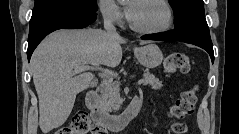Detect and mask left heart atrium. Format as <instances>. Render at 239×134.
Segmentation results:
<instances>
[{
    "instance_id": "1",
    "label": "left heart atrium",
    "mask_w": 239,
    "mask_h": 134,
    "mask_svg": "<svg viewBox=\"0 0 239 134\" xmlns=\"http://www.w3.org/2000/svg\"><path fill=\"white\" fill-rule=\"evenodd\" d=\"M132 13H133V7H132V6H128V7L126 8V14H127V16H128L129 19L131 18Z\"/></svg>"
}]
</instances>
